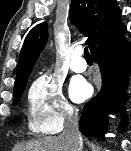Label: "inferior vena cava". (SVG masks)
Segmentation results:
<instances>
[{
    "instance_id": "602c4592",
    "label": "inferior vena cava",
    "mask_w": 131,
    "mask_h": 151,
    "mask_svg": "<svg viewBox=\"0 0 131 151\" xmlns=\"http://www.w3.org/2000/svg\"><path fill=\"white\" fill-rule=\"evenodd\" d=\"M61 137L72 145L73 151H82L83 140L78 128V115L73 108L68 109Z\"/></svg>"
}]
</instances>
